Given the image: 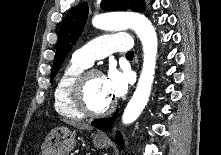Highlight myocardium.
<instances>
[{
  "label": "myocardium",
  "instance_id": "myocardium-1",
  "mask_svg": "<svg viewBox=\"0 0 221 155\" xmlns=\"http://www.w3.org/2000/svg\"><path fill=\"white\" fill-rule=\"evenodd\" d=\"M94 75H102V73L95 68H86L78 74L70 86L69 97L75 109L84 116L102 117L110 114L115 109L116 103L112 101L100 111H95L89 107L85 97V89L89 79Z\"/></svg>",
  "mask_w": 221,
  "mask_h": 155
}]
</instances>
